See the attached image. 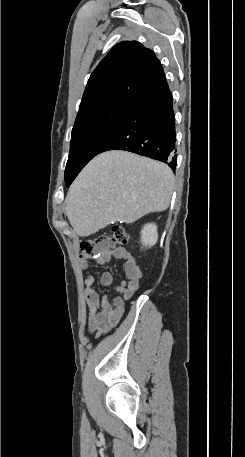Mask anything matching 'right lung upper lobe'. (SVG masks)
Here are the masks:
<instances>
[{
  "instance_id": "obj_1",
  "label": "right lung upper lobe",
  "mask_w": 245,
  "mask_h": 457,
  "mask_svg": "<svg viewBox=\"0 0 245 457\" xmlns=\"http://www.w3.org/2000/svg\"><path fill=\"white\" fill-rule=\"evenodd\" d=\"M166 82L155 54L136 41L116 44L91 74L79 114L113 104L131 107L149 90Z\"/></svg>"
}]
</instances>
